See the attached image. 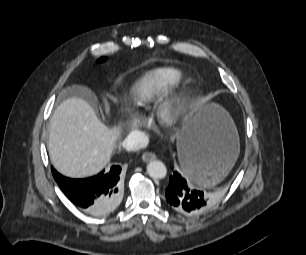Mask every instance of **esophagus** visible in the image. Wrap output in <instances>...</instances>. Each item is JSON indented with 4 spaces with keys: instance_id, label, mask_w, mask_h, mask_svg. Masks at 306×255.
I'll return each instance as SVG.
<instances>
[{
    "instance_id": "1",
    "label": "esophagus",
    "mask_w": 306,
    "mask_h": 255,
    "mask_svg": "<svg viewBox=\"0 0 306 255\" xmlns=\"http://www.w3.org/2000/svg\"><path fill=\"white\" fill-rule=\"evenodd\" d=\"M142 159L144 162H150V161H153L156 159V155L152 152H145L143 155H142Z\"/></svg>"
}]
</instances>
